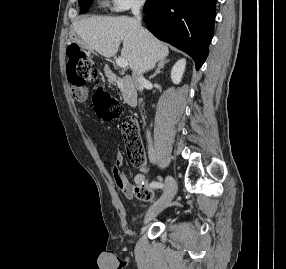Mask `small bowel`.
<instances>
[{
  "label": "small bowel",
  "instance_id": "1",
  "mask_svg": "<svg viewBox=\"0 0 286 269\" xmlns=\"http://www.w3.org/2000/svg\"><path fill=\"white\" fill-rule=\"evenodd\" d=\"M79 100L85 98V90L79 89L78 96L76 97ZM123 158L120 153H117L115 158V163L112 167V174L114 177L115 184L117 188L129 199L135 197L134 189L135 186L143 182L146 178L147 168L145 164L139 168V173L134 177V182L131 183L125 176L123 170Z\"/></svg>",
  "mask_w": 286,
  "mask_h": 269
}]
</instances>
